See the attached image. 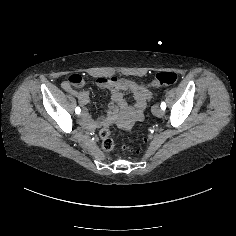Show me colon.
Instances as JSON below:
<instances>
[{
	"instance_id": "colon-1",
	"label": "colon",
	"mask_w": 236,
	"mask_h": 236,
	"mask_svg": "<svg viewBox=\"0 0 236 236\" xmlns=\"http://www.w3.org/2000/svg\"><path fill=\"white\" fill-rule=\"evenodd\" d=\"M107 79H102V82H106ZM177 81V75L171 71L160 72L156 75L155 79L150 83L151 87L170 86ZM68 82L72 86L80 87L85 84V79L80 74H72L68 78ZM99 136L102 140V148L106 152H110L114 148V142L110 138V133L107 129H101ZM128 149L127 147H123ZM129 150V149H128Z\"/></svg>"
}]
</instances>
